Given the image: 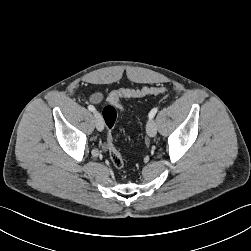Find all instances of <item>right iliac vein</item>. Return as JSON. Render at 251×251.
I'll use <instances>...</instances> for the list:
<instances>
[{
  "instance_id": "63e3f726",
  "label": "right iliac vein",
  "mask_w": 251,
  "mask_h": 251,
  "mask_svg": "<svg viewBox=\"0 0 251 251\" xmlns=\"http://www.w3.org/2000/svg\"><path fill=\"white\" fill-rule=\"evenodd\" d=\"M94 119H95V126H96L97 130L102 131L104 129V122H103V119H102V116L100 115V113L95 112Z\"/></svg>"
}]
</instances>
